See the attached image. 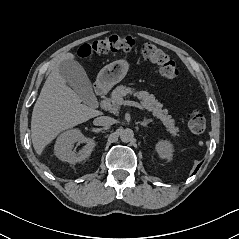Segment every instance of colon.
Listing matches in <instances>:
<instances>
[{
	"mask_svg": "<svg viewBox=\"0 0 239 239\" xmlns=\"http://www.w3.org/2000/svg\"><path fill=\"white\" fill-rule=\"evenodd\" d=\"M135 40L130 36L112 35L104 39L95 40L81 45L77 54L81 58H88L93 54H106L109 52H130L135 47ZM143 57L159 67L161 76L167 80L178 78L180 71L164 51L152 44L142 46ZM189 129L193 133H202L206 126L204 116L199 111H191L187 115Z\"/></svg>",
	"mask_w": 239,
	"mask_h": 239,
	"instance_id": "1",
	"label": "colon"
}]
</instances>
